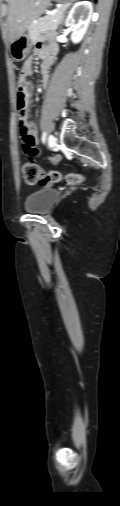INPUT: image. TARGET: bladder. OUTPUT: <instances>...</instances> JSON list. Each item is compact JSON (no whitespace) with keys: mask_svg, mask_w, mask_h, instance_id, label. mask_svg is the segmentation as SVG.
Wrapping results in <instances>:
<instances>
[{"mask_svg":"<svg viewBox=\"0 0 120 506\" xmlns=\"http://www.w3.org/2000/svg\"><path fill=\"white\" fill-rule=\"evenodd\" d=\"M59 192L54 188H42L29 194L24 202V209L29 213H47L57 200Z\"/></svg>","mask_w":120,"mask_h":506,"instance_id":"31cf9c89","label":"bladder"}]
</instances>
